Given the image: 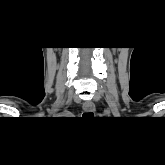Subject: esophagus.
Returning a JSON list of instances; mask_svg holds the SVG:
<instances>
[{
    "label": "esophagus",
    "mask_w": 165,
    "mask_h": 165,
    "mask_svg": "<svg viewBox=\"0 0 165 165\" xmlns=\"http://www.w3.org/2000/svg\"><path fill=\"white\" fill-rule=\"evenodd\" d=\"M83 109L85 112H93L95 110V105L92 101H86L83 104Z\"/></svg>",
    "instance_id": "34e87169"
}]
</instances>
